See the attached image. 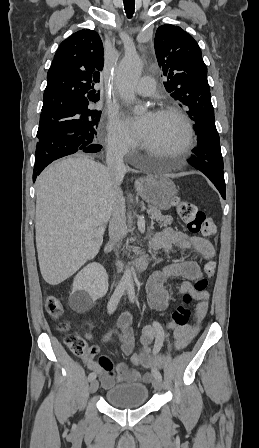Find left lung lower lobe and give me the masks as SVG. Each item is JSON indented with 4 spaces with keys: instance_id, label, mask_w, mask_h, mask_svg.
<instances>
[{
    "instance_id": "1",
    "label": "left lung lower lobe",
    "mask_w": 259,
    "mask_h": 448,
    "mask_svg": "<svg viewBox=\"0 0 259 448\" xmlns=\"http://www.w3.org/2000/svg\"><path fill=\"white\" fill-rule=\"evenodd\" d=\"M197 147L192 150L193 156L188 163L203 172L215 185L225 199V181L220 139L217 131L199 134Z\"/></svg>"
}]
</instances>
